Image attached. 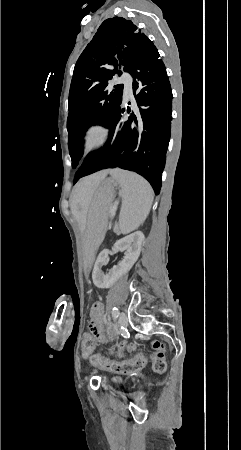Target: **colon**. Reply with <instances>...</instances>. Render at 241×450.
<instances>
[{"mask_svg": "<svg viewBox=\"0 0 241 450\" xmlns=\"http://www.w3.org/2000/svg\"><path fill=\"white\" fill-rule=\"evenodd\" d=\"M82 344H83V353L85 355H88V351L93 349L94 346V337L91 332H88L86 336L82 337ZM152 349L156 352V356L153 363V369L156 374H161L164 372L166 368L165 358H167L168 353L166 351V346L161 344L159 340H153L151 342ZM157 350H160V353H157ZM88 362H102V367H111L113 371L121 372L124 374L132 375L135 372L142 369L145 365V359L143 357H134L130 359L129 361L117 364V362H105L106 358L101 357V354H99L98 351H94L92 355H88ZM100 365V364H99Z\"/></svg>", "mask_w": 241, "mask_h": 450, "instance_id": "obj_1", "label": "colon"}]
</instances>
